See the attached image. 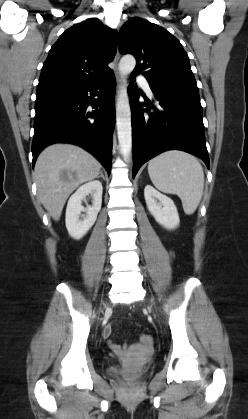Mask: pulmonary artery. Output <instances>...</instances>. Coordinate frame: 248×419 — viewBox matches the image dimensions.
Listing matches in <instances>:
<instances>
[{
  "instance_id": "pulmonary-artery-1",
  "label": "pulmonary artery",
  "mask_w": 248,
  "mask_h": 419,
  "mask_svg": "<svg viewBox=\"0 0 248 419\" xmlns=\"http://www.w3.org/2000/svg\"><path fill=\"white\" fill-rule=\"evenodd\" d=\"M137 81L139 82V84L145 89V91L149 94V95H153L151 88H150V84L148 82V80L142 76V75H138L137 76Z\"/></svg>"
}]
</instances>
